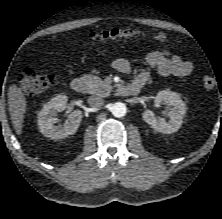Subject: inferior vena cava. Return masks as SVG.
<instances>
[{
	"label": "inferior vena cava",
	"mask_w": 222,
	"mask_h": 219,
	"mask_svg": "<svg viewBox=\"0 0 222 219\" xmlns=\"http://www.w3.org/2000/svg\"><path fill=\"white\" fill-rule=\"evenodd\" d=\"M88 103L91 107L98 108L104 105V100L97 96H90L88 98Z\"/></svg>",
	"instance_id": "602c4592"
}]
</instances>
